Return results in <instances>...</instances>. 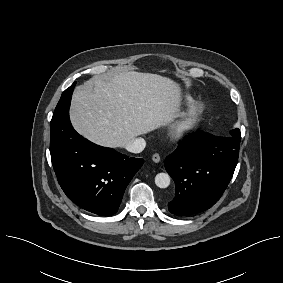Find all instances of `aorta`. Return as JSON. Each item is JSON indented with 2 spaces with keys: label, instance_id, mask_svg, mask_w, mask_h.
Here are the masks:
<instances>
[{
  "label": "aorta",
  "instance_id": "obj_1",
  "mask_svg": "<svg viewBox=\"0 0 283 283\" xmlns=\"http://www.w3.org/2000/svg\"><path fill=\"white\" fill-rule=\"evenodd\" d=\"M155 184L159 188H167L170 185V176L167 173H158L155 176Z\"/></svg>",
  "mask_w": 283,
  "mask_h": 283
}]
</instances>
